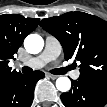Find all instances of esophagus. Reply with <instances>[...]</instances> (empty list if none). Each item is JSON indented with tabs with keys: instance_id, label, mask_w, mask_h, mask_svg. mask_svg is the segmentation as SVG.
<instances>
[{
	"instance_id": "esophagus-1",
	"label": "esophagus",
	"mask_w": 107,
	"mask_h": 107,
	"mask_svg": "<svg viewBox=\"0 0 107 107\" xmlns=\"http://www.w3.org/2000/svg\"><path fill=\"white\" fill-rule=\"evenodd\" d=\"M48 77H50L51 79H56L57 76L56 75H53V74H50V73H47L46 74Z\"/></svg>"
}]
</instances>
